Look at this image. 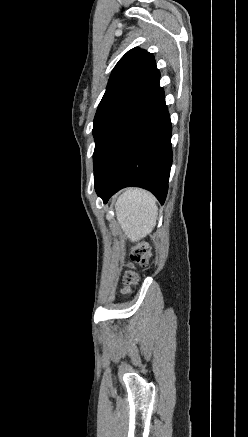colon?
<instances>
[{
  "mask_svg": "<svg viewBox=\"0 0 248 437\" xmlns=\"http://www.w3.org/2000/svg\"><path fill=\"white\" fill-rule=\"evenodd\" d=\"M150 247L146 243H142L138 245L132 255H131V261L132 263H139L141 265H145L148 263L149 257H150ZM138 282V275L133 270L132 264L129 265L128 270L125 272L123 277V289L122 292L124 294H130L132 292V287L136 285Z\"/></svg>",
  "mask_w": 248,
  "mask_h": 437,
  "instance_id": "colon-1",
  "label": "colon"
}]
</instances>
